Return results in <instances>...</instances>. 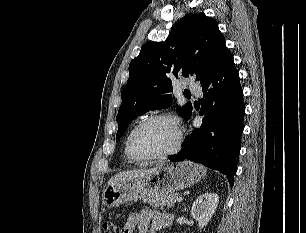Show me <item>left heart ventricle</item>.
Returning <instances> with one entry per match:
<instances>
[{"label":"left heart ventricle","instance_id":"obj_1","mask_svg":"<svg viewBox=\"0 0 306 233\" xmlns=\"http://www.w3.org/2000/svg\"><path fill=\"white\" fill-rule=\"evenodd\" d=\"M177 130L168 120H153L143 125L134 135L132 149L143 157L170 150L176 141Z\"/></svg>","mask_w":306,"mask_h":233}]
</instances>
